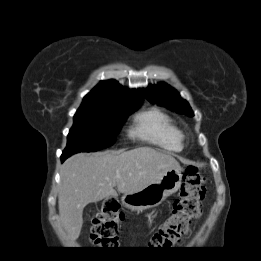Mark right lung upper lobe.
Returning <instances> with one entry per match:
<instances>
[{
    "instance_id": "cb5924a9",
    "label": "right lung upper lobe",
    "mask_w": 261,
    "mask_h": 261,
    "mask_svg": "<svg viewBox=\"0 0 261 261\" xmlns=\"http://www.w3.org/2000/svg\"><path fill=\"white\" fill-rule=\"evenodd\" d=\"M141 89L128 90L119 85L115 80L102 81L99 83L84 100L89 99H120L128 101L142 100Z\"/></svg>"
}]
</instances>
